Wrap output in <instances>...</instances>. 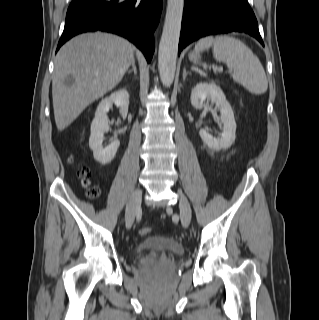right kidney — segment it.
Returning <instances> with one entry per match:
<instances>
[{"label": "right kidney", "instance_id": "obj_1", "mask_svg": "<svg viewBox=\"0 0 319 320\" xmlns=\"http://www.w3.org/2000/svg\"><path fill=\"white\" fill-rule=\"evenodd\" d=\"M113 104L120 108L122 117L125 119L129 106V94L126 89H119L102 99L96 109L95 117L91 124L89 147L93 151L94 159L101 164L110 163L115 157L120 145L118 139H115L105 148L102 145L104 133L109 130L107 113Z\"/></svg>", "mask_w": 319, "mask_h": 320}]
</instances>
